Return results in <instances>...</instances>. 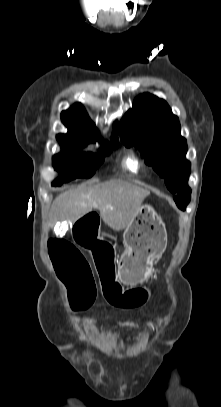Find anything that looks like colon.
<instances>
[{
  "instance_id": "obj_1",
  "label": "colon",
  "mask_w": 221,
  "mask_h": 407,
  "mask_svg": "<svg viewBox=\"0 0 221 407\" xmlns=\"http://www.w3.org/2000/svg\"><path fill=\"white\" fill-rule=\"evenodd\" d=\"M98 212L88 210L86 216H77L73 221V237L91 249L94 254L96 271L107 306L115 311H133L138 306H147L154 294L148 283H133L123 291L117 281L115 262L110 246L99 242L103 231L98 224ZM49 254L59 278L67 286L69 296L76 309L89 308L96 297V283L91 267L82 253L70 242L61 239L49 241Z\"/></svg>"
}]
</instances>
